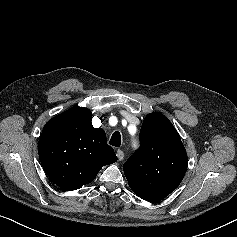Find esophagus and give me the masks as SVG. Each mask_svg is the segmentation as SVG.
<instances>
[{"instance_id":"1","label":"esophagus","mask_w":237,"mask_h":237,"mask_svg":"<svg viewBox=\"0 0 237 237\" xmlns=\"http://www.w3.org/2000/svg\"><path fill=\"white\" fill-rule=\"evenodd\" d=\"M116 155H117V157H118V160L121 161V160L124 158V152H123V150L118 149V150L116 151Z\"/></svg>"}]
</instances>
